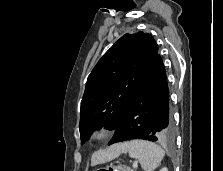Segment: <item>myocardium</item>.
<instances>
[{
	"mask_svg": "<svg viewBox=\"0 0 223 171\" xmlns=\"http://www.w3.org/2000/svg\"><path fill=\"white\" fill-rule=\"evenodd\" d=\"M111 130L106 125H100L94 128L91 132V137L93 140L101 142L104 141L110 135Z\"/></svg>",
	"mask_w": 223,
	"mask_h": 171,
	"instance_id": "myocardium-1",
	"label": "myocardium"
}]
</instances>
